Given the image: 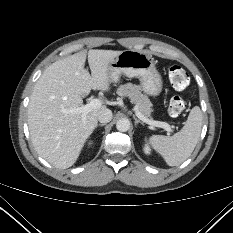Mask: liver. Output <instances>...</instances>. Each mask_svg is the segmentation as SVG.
Returning <instances> with one entry per match:
<instances>
[{
	"mask_svg": "<svg viewBox=\"0 0 233 233\" xmlns=\"http://www.w3.org/2000/svg\"><path fill=\"white\" fill-rule=\"evenodd\" d=\"M122 51L89 50L51 64L36 82L28 105V126L37 153L53 166L66 169L80 152L97 126L98 114L105 106L93 109L85 118L66 110L82 105L90 91H109V64ZM88 58L90 73L85 69Z\"/></svg>",
	"mask_w": 233,
	"mask_h": 233,
	"instance_id": "6515ba94",
	"label": "liver"
}]
</instances>
